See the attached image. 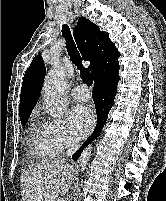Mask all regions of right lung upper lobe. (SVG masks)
Returning <instances> with one entry per match:
<instances>
[{"mask_svg":"<svg viewBox=\"0 0 166 201\" xmlns=\"http://www.w3.org/2000/svg\"><path fill=\"white\" fill-rule=\"evenodd\" d=\"M74 38L85 61L90 60L89 69L95 78L102 69L118 63L120 53L109 39V34L85 17H81L74 30ZM45 66L41 55H37L23 78L19 113L20 118L29 116L40 95Z\"/></svg>","mask_w":166,"mask_h":201,"instance_id":"1","label":"right lung upper lobe"}]
</instances>
